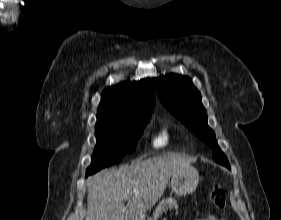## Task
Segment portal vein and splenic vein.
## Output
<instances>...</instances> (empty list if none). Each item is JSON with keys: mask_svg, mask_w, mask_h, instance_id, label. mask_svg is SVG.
I'll list each match as a JSON object with an SVG mask.
<instances>
[{"mask_svg": "<svg viewBox=\"0 0 281 220\" xmlns=\"http://www.w3.org/2000/svg\"><path fill=\"white\" fill-rule=\"evenodd\" d=\"M131 194L130 191H127V194L125 195V198H128V196Z\"/></svg>", "mask_w": 281, "mask_h": 220, "instance_id": "obj_1", "label": "portal vein and splenic vein"}]
</instances>
